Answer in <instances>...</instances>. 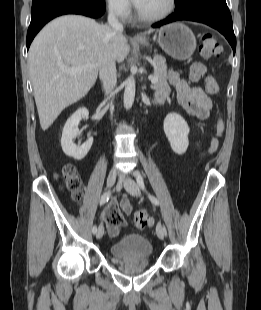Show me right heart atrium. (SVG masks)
<instances>
[{"label":"right heart atrium","mask_w":261,"mask_h":310,"mask_svg":"<svg viewBox=\"0 0 261 310\" xmlns=\"http://www.w3.org/2000/svg\"><path fill=\"white\" fill-rule=\"evenodd\" d=\"M108 12L115 18L125 21L131 15L129 0H105Z\"/></svg>","instance_id":"right-heart-atrium-1"}]
</instances>
